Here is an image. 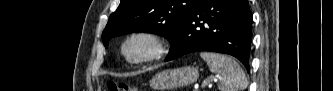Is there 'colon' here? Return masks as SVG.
<instances>
[{
    "label": "colon",
    "mask_w": 333,
    "mask_h": 91,
    "mask_svg": "<svg viewBox=\"0 0 333 91\" xmlns=\"http://www.w3.org/2000/svg\"><path fill=\"white\" fill-rule=\"evenodd\" d=\"M107 91H135L136 89L126 83L108 82Z\"/></svg>",
    "instance_id": "1"
}]
</instances>
